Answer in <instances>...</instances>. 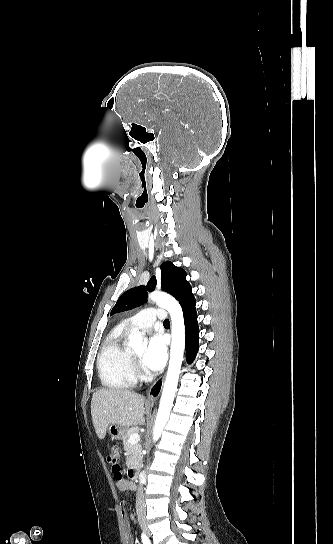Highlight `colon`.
Here are the masks:
<instances>
[{"label":"colon","mask_w":333,"mask_h":544,"mask_svg":"<svg viewBox=\"0 0 333 544\" xmlns=\"http://www.w3.org/2000/svg\"><path fill=\"white\" fill-rule=\"evenodd\" d=\"M108 461L112 465V470L115 474L116 479L122 480L121 465L119 461V449L117 446H111L108 453Z\"/></svg>","instance_id":"5ec220e1"}]
</instances>
